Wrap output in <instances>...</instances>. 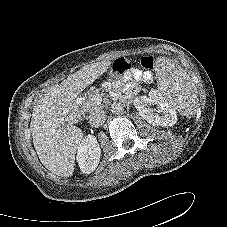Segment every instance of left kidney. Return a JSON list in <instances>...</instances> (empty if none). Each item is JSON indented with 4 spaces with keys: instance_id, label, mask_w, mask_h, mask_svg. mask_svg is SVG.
Masks as SVG:
<instances>
[{
    "instance_id": "5707ae66",
    "label": "left kidney",
    "mask_w": 227,
    "mask_h": 227,
    "mask_svg": "<svg viewBox=\"0 0 227 227\" xmlns=\"http://www.w3.org/2000/svg\"><path fill=\"white\" fill-rule=\"evenodd\" d=\"M151 105H156V108H151ZM134 106L141 117L153 126L166 127L177 122L175 109L157 90H151L148 96L136 97Z\"/></svg>"
}]
</instances>
